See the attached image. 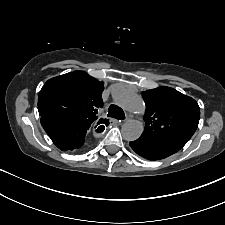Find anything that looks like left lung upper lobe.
<instances>
[{
	"label": "left lung upper lobe",
	"mask_w": 225,
	"mask_h": 225,
	"mask_svg": "<svg viewBox=\"0 0 225 225\" xmlns=\"http://www.w3.org/2000/svg\"><path fill=\"white\" fill-rule=\"evenodd\" d=\"M141 94L146 104L144 135L186 141L192 137L200 118L194 99L165 86Z\"/></svg>",
	"instance_id": "1"
}]
</instances>
